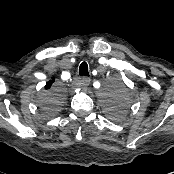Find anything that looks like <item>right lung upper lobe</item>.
<instances>
[{"label":"right lung upper lobe","instance_id":"right-lung-upper-lobe-1","mask_svg":"<svg viewBox=\"0 0 174 174\" xmlns=\"http://www.w3.org/2000/svg\"><path fill=\"white\" fill-rule=\"evenodd\" d=\"M53 82H54V79L48 81V82L46 83L45 88H46V89L50 88Z\"/></svg>","mask_w":174,"mask_h":174}]
</instances>
